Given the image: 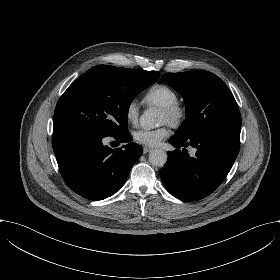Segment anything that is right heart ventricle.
<instances>
[{
	"label": "right heart ventricle",
	"mask_w": 280,
	"mask_h": 280,
	"mask_svg": "<svg viewBox=\"0 0 280 280\" xmlns=\"http://www.w3.org/2000/svg\"><path fill=\"white\" fill-rule=\"evenodd\" d=\"M147 104H156L160 107L174 104L179 101L178 92L169 85L158 83L149 87L143 95Z\"/></svg>",
	"instance_id": "1"
}]
</instances>
